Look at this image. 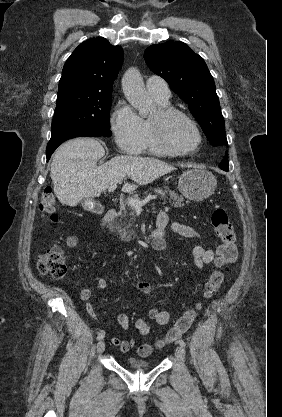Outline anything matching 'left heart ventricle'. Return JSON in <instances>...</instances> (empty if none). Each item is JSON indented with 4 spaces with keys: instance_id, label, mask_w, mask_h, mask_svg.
<instances>
[{
    "instance_id": "1",
    "label": "left heart ventricle",
    "mask_w": 282,
    "mask_h": 417,
    "mask_svg": "<svg viewBox=\"0 0 282 417\" xmlns=\"http://www.w3.org/2000/svg\"><path fill=\"white\" fill-rule=\"evenodd\" d=\"M150 119L159 123L158 110L150 117ZM164 133L168 141L177 147H192L196 143V137L190 127L180 118L168 120L164 126Z\"/></svg>"
}]
</instances>
